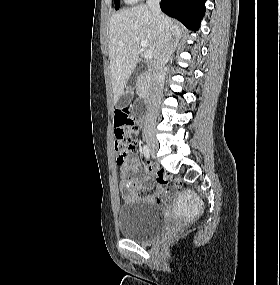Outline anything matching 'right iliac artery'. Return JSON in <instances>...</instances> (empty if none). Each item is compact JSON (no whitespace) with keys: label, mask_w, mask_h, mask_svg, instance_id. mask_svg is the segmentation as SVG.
<instances>
[{"label":"right iliac artery","mask_w":280,"mask_h":285,"mask_svg":"<svg viewBox=\"0 0 280 285\" xmlns=\"http://www.w3.org/2000/svg\"><path fill=\"white\" fill-rule=\"evenodd\" d=\"M149 152H150V150H149L148 146L144 145V147H143V154H144V156L146 158H149Z\"/></svg>","instance_id":"obj_1"}]
</instances>
